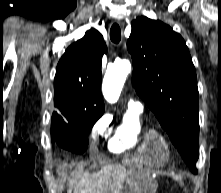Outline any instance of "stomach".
<instances>
[{
  "label": "stomach",
  "mask_w": 221,
  "mask_h": 193,
  "mask_svg": "<svg viewBox=\"0 0 221 193\" xmlns=\"http://www.w3.org/2000/svg\"><path fill=\"white\" fill-rule=\"evenodd\" d=\"M142 147H134V152L140 154H125L124 158L128 169L129 179L121 193H152L151 182H155L154 167H166L169 150H164L163 142L155 133H146L142 138ZM137 158V159H135ZM129 159H135L130 162Z\"/></svg>",
  "instance_id": "stomach-1"
}]
</instances>
